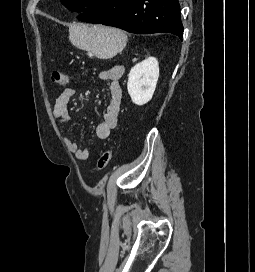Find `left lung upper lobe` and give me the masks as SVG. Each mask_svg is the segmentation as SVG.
I'll return each instance as SVG.
<instances>
[{
	"mask_svg": "<svg viewBox=\"0 0 255 272\" xmlns=\"http://www.w3.org/2000/svg\"><path fill=\"white\" fill-rule=\"evenodd\" d=\"M62 3L68 7L69 9H72V10H77L79 11V9L75 8L74 5L76 2H81V3H85V2H89L90 0H61ZM93 2H97L99 0H92Z\"/></svg>",
	"mask_w": 255,
	"mask_h": 272,
	"instance_id": "1",
	"label": "left lung upper lobe"
}]
</instances>
